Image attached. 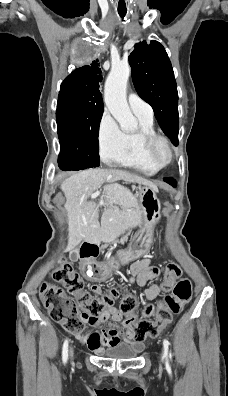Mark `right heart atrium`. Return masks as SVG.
<instances>
[{
	"instance_id": "right-heart-atrium-1",
	"label": "right heart atrium",
	"mask_w": 228,
	"mask_h": 396,
	"mask_svg": "<svg viewBox=\"0 0 228 396\" xmlns=\"http://www.w3.org/2000/svg\"><path fill=\"white\" fill-rule=\"evenodd\" d=\"M125 133L120 129L113 116L104 110L98 123L97 138L102 158L112 162L124 147Z\"/></svg>"
}]
</instances>
